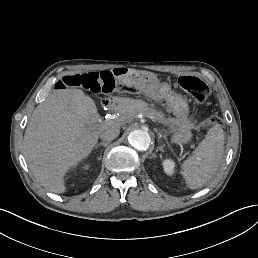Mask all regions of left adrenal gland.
Here are the masks:
<instances>
[{"instance_id":"left-adrenal-gland-1","label":"left adrenal gland","mask_w":258,"mask_h":258,"mask_svg":"<svg viewBox=\"0 0 258 258\" xmlns=\"http://www.w3.org/2000/svg\"><path fill=\"white\" fill-rule=\"evenodd\" d=\"M163 148H164V145L157 147L156 152H158V151L164 152Z\"/></svg>"}]
</instances>
